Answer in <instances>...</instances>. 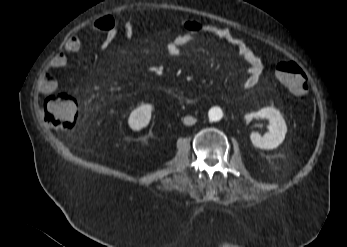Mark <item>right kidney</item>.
Masks as SVG:
<instances>
[{"instance_id":"ca27d5eb","label":"right kidney","mask_w":347,"mask_h":247,"mask_svg":"<svg viewBox=\"0 0 347 247\" xmlns=\"http://www.w3.org/2000/svg\"><path fill=\"white\" fill-rule=\"evenodd\" d=\"M152 105L144 104L134 109L129 118L128 124L133 130H140L148 125L151 119Z\"/></svg>"}]
</instances>
